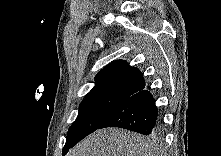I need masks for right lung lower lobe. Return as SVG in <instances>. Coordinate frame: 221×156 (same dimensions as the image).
<instances>
[{"label":"right lung lower lobe","mask_w":221,"mask_h":156,"mask_svg":"<svg viewBox=\"0 0 221 156\" xmlns=\"http://www.w3.org/2000/svg\"><path fill=\"white\" fill-rule=\"evenodd\" d=\"M161 126L162 119L155 100L148 90L143 89L117 106L99 129L120 127L144 135H155Z\"/></svg>","instance_id":"right-lung-lower-lobe-1"}]
</instances>
